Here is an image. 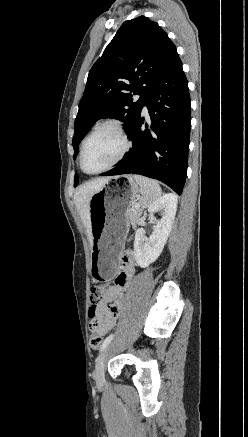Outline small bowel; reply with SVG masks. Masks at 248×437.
<instances>
[{"label":"small bowel","instance_id":"obj_1","mask_svg":"<svg viewBox=\"0 0 248 437\" xmlns=\"http://www.w3.org/2000/svg\"><path fill=\"white\" fill-rule=\"evenodd\" d=\"M122 272L118 275L115 283L106 290L103 301L96 310L98 325L96 331L101 336L110 332L123 309V294L132 284L134 275V255L131 250H126L122 254Z\"/></svg>","mask_w":248,"mask_h":437}]
</instances>
